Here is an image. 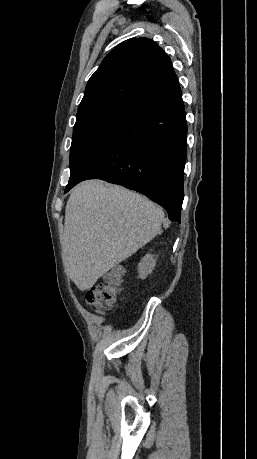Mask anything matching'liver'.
Returning a JSON list of instances; mask_svg holds the SVG:
<instances>
[{"label":"liver","mask_w":257,"mask_h":459,"mask_svg":"<svg viewBox=\"0 0 257 459\" xmlns=\"http://www.w3.org/2000/svg\"><path fill=\"white\" fill-rule=\"evenodd\" d=\"M164 212L147 198L99 180L74 188L65 209L63 263L79 290L150 242Z\"/></svg>","instance_id":"obj_1"}]
</instances>
